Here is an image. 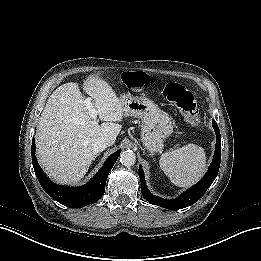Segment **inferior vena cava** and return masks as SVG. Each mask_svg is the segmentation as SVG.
<instances>
[{"mask_svg": "<svg viewBox=\"0 0 261 261\" xmlns=\"http://www.w3.org/2000/svg\"><path fill=\"white\" fill-rule=\"evenodd\" d=\"M94 150L96 152H101L105 150L108 146H110V140L106 137H98L94 141Z\"/></svg>", "mask_w": 261, "mask_h": 261, "instance_id": "602c4592", "label": "inferior vena cava"}]
</instances>
